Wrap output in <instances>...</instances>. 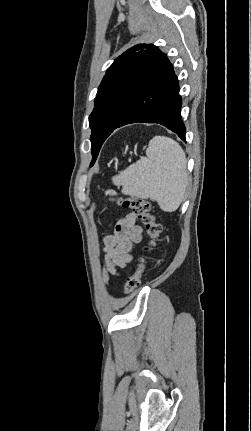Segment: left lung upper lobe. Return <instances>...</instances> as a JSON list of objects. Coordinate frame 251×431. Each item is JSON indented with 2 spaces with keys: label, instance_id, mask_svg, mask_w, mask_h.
Here are the masks:
<instances>
[{
  "label": "left lung upper lobe",
  "instance_id": "1",
  "mask_svg": "<svg viewBox=\"0 0 251 431\" xmlns=\"http://www.w3.org/2000/svg\"><path fill=\"white\" fill-rule=\"evenodd\" d=\"M162 52L152 44H139L117 57L108 68L89 116L92 162L106 138L118 125Z\"/></svg>",
  "mask_w": 251,
  "mask_h": 431
}]
</instances>
